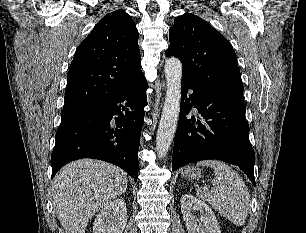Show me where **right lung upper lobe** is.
<instances>
[{
    "label": "right lung upper lobe",
    "instance_id": "obj_1",
    "mask_svg": "<svg viewBox=\"0 0 306 233\" xmlns=\"http://www.w3.org/2000/svg\"><path fill=\"white\" fill-rule=\"evenodd\" d=\"M139 34L124 10L104 16L75 52L64 108L112 98L142 75Z\"/></svg>",
    "mask_w": 306,
    "mask_h": 233
}]
</instances>
